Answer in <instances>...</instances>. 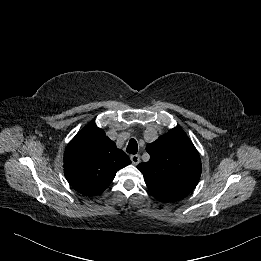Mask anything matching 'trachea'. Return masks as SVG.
Listing matches in <instances>:
<instances>
[{"label":"trachea","mask_w":261,"mask_h":261,"mask_svg":"<svg viewBox=\"0 0 261 261\" xmlns=\"http://www.w3.org/2000/svg\"><path fill=\"white\" fill-rule=\"evenodd\" d=\"M126 151L129 154H136L138 152V144L135 139H130Z\"/></svg>","instance_id":"1"}]
</instances>
